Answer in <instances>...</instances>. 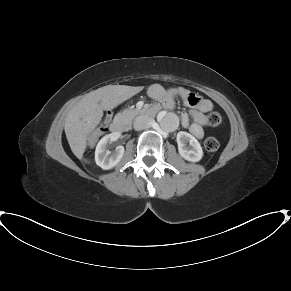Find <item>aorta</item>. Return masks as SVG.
I'll use <instances>...</instances> for the list:
<instances>
[{"mask_svg": "<svg viewBox=\"0 0 291 291\" xmlns=\"http://www.w3.org/2000/svg\"><path fill=\"white\" fill-rule=\"evenodd\" d=\"M160 127L165 132H172L179 125L178 117L172 113H166L158 117Z\"/></svg>", "mask_w": 291, "mask_h": 291, "instance_id": "1", "label": "aorta"}]
</instances>
